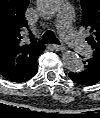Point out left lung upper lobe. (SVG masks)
I'll return each instance as SVG.
<instances>
[{"mask_svg":"<svg viewBox=\"0 0 100 118\" xmlns=\"http://www.w3.org/2000/svg\"><path fill=\"white\" fill-rule=\"evenodd\" d=\"M81 6L82 26L91 33L86 40L94 50L93 57L100 60V0H81Z\"/></svg>","mask_w":100,"mask_h":118,"instance_id":"5c2ea615","label":"left lung upper lobe"}]
</instances>
